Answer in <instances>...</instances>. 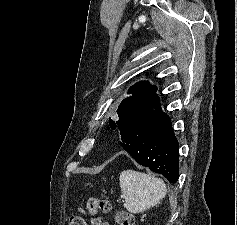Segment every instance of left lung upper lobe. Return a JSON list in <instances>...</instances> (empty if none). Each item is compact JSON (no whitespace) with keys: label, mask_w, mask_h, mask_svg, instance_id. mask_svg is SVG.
<instances>
[{"label":"left lung upper lobe","mask_w":237,"mask_h":225,"mask_svg":"<svg viewBox=\"0 0 237 225\" xmlns=\"http://www.w3.org/2000/svg\"><path fill=\"white\" fill-rule=\"evenodd\" d=\"M156 90V86H151L145 81H141L135 86L131 87L128 93H132V96L127 97L121 102L117 110L119 116L118 121L115 122L114 120L109 118L110 127L112 129H115L118 126L121 118L127 113L135 110L136 108L158 103L159 99L155 94Z\"/></svg>","instance_id":"1"}]
</instances>
